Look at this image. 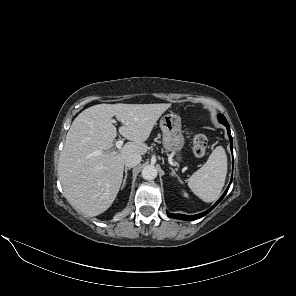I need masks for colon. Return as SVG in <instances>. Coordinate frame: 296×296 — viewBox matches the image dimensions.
Here are the masks:
<instances>
[{
	"instance_id": "colon-1",
	"label": "colon",
	"mask_w": 296,
	"mask_h": 296,
	"mask_svg": "<svg viewBox=\"0 0 296 296\" xmlns=\"http://www.w3.org/2000/svg\"><path fill=\"white\" fill-rule=\"evenodd\" d=\"M208 140L202 134L193 137V152L196 156L202 157L206 153Z\"/></svg>"
}]
</instances>
